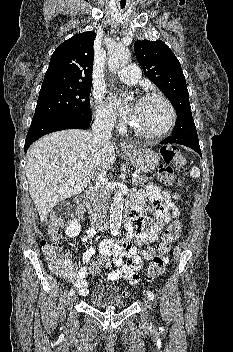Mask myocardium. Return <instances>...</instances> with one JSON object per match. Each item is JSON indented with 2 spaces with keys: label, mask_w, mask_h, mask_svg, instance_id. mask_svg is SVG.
Segmentation results:
<instances>
[{
  "label": "myocardium",
  "mask_w": 233,
  "mask_h": 352,
  "mask_svg": "<svg viewBox=\"0 0 233 352\" xmlns=\"http://www.w3.org/2000/svg\"><path fill=\"white\" fill-rule=\"evenodd\" d=\"M153 98L161 100L167 106L169 113H170V117H169L168 123L166 124V126L162 130H160L158 132H153V133L144 132V131L138 129L137 127H135L133 124H131L132 131L136 135H138L142 138H145V139H159V138L165 136L173 128V126L175 125L176 119H177L176 110H175L173 104L162 93L148 92V93H145L142 96H140L139 100H148V99H153Z\"/></svg>",
  "instance_id": "1"
}]
</instances>
